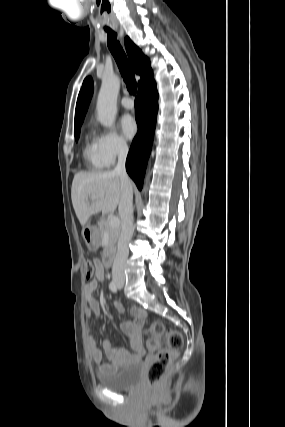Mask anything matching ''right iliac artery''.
Listing matches in <instances>:
<instances>
[{
  "instance_id": "obj_1",
  "label": "right iliac artery",
  "mask_w": 285,
  "mask_h": 427,
  "mask_svg": "<svg viewBox=\"0 0 285 427\" xmlns=\"http://www.w3.org/2000/svg\"><path fill=\"white\" fill-rule=\"evenodd\" d=\"M109 288H110V290L112 291V292H114V293H116L117 292V284L114 282V281H112L110 284H109Z\"/></svg>"
}]
</instances>
